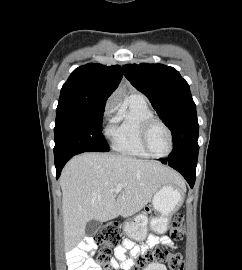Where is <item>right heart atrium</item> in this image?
<instances>
[{"label":"right heart atrium","instance_id":"right-heart-atrium-1","mask_svg":"<svg viewBox=\"0 0 242 270\" xmlns=\"http://www.w3.org/2000/svg\"><path fill=\"white\" fill-rule=\"evenodd\" d=\"M114 110V105L112 103H110L108 106H107V109H106V114L107 115H110Z\"/></svg>","mask_w":242,"mask_h":270}]
</instances>
